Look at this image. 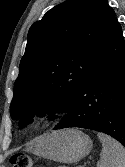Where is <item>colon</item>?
<instances>
[{
  "mask_svg": "<svg viewBox=\"0 0 125 167\" xmlns=\"http://www.w3.org/2000/svg\"><path fill=\"white\" fill-rule=\"evenodd\" d=\"M12 167H33V160L29 155L18 153L10 158Z\"/></svg>",
  "mask_w": 125,
  "mask_h": 167,
  "instance_id": "colon-1",
  "label": "colon"
}]
</instances>
